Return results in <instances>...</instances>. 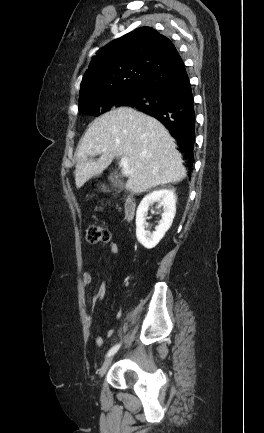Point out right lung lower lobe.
<instances>
[{
	"instance_id": "98d812e1",
	"label": "right lung lower lobe",
	"mask_w": 264,
	"mask_h": 433,
	"mask_svg": "<svg viewBox=\"0 0 264 433\" xmlns=\"http://www.w3.org/2000/svg\"><path fill=\"white\" fill-rule=\"evenodd\" d=\"M139 93L122 106L155 117L177 139L187 167L193 165L195 110L192 89L182 58L175 52L141 84Z\"/></svg>"
}]
</instances>
